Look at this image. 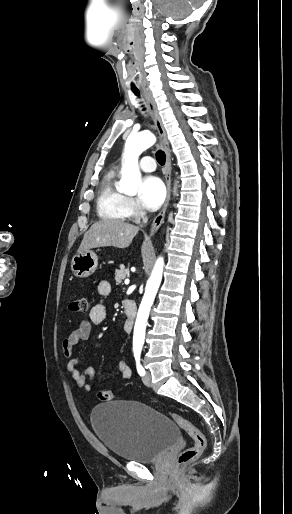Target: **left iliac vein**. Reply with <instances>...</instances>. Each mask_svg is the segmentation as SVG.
Returning a JSON list of instances; mask_svg holds the SVG:
<instances>
[{
  "label": "left iliac vein",
  "instance_id": "1",
  "mask_svg": "<svg viewBox=\"0 0 292 514\" xmlns=\"http://www.w3.org/2000/svg\"><path fill=\"white\" fill-rule=\"evenodd\" d=\"M142 381L146 386L150 387L152 385L151 373L147 371L146 374L143 376Z\"/></svg>",
  "mask_w": 292,
  "mask_h": 514
}]
</instances>
